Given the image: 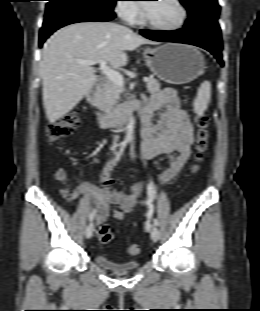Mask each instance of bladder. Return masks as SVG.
<instances>
[{
	"label": "bladder",
	"instance_id": "1",
	"mask_svg": "<svg viewBox=\"0 0 260 311\" xmlns=\"http://www.w3.org/2000/svg\"><path fill=\"white\" fill-rule=\"evenodd\" d=\"M93 260L99 266L113 272L132 271L138 269L140 266V262L138 260L114 262L101 250L94 253Z\"/></svg>",
	"mask_w": 260,
	"mask_h": 311
}]
</instances>
